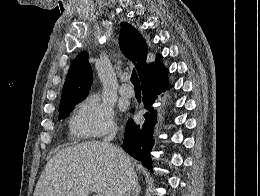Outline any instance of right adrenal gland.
<instances>
[{"label": "right adrenal gland", "instance_id": "2a0ac1e0", "mask_svg": "<svg viewBox=\"0 0 260 196\" xmlns=\"http://www.w3.org/2000/svg\"><path fill=\"white\" fill-rule=\"evenodd\" d=\"M130 196H139L138 192H133V194H130Z\"/></svg>", "mask_w": 260, "mask_h": 196}]
</instances>
